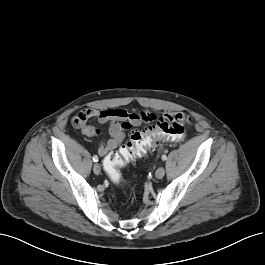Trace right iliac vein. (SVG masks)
Segmentation results:
<instances>
[{
    "mask_svg": "<svg viewBox=\"0 0 265 265\" xmlns=\"http://www.w3.org/2000/svg\"><path fill=\"white\" fill-rule=\"evenodd\" d=\"M93 171H94V173L95 174H100V172H101V167H100V165L98 164V163H96V164H94V166H93Z\"/></svg>",
    "mask_w": 265,
    "mask_h": 265,
    "instance_id": "63e3f726",
    "label": "right iliac vein"
}]
</instances>
